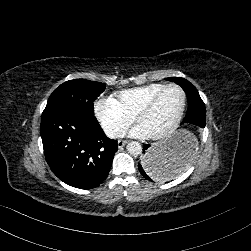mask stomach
Returning <instances> with one entry per match:
<instances>
[{
	"mask_svg": "<svg viewBox=\"0 0 251 251\" xmlns=\"http://www.w3.org/2000/svg\"><path fill=\"white\" fill-rule=\"evenodd\" d=\"M196 137L186 131H176L159 142L142 159L145 174L152 179H173L188 170L197 154Z\"/></svg>",
	"mask_w": 251,
	"mask_h": 251,
	"instance_id": "1",
	"label": "stomach"
}]
</instances>
